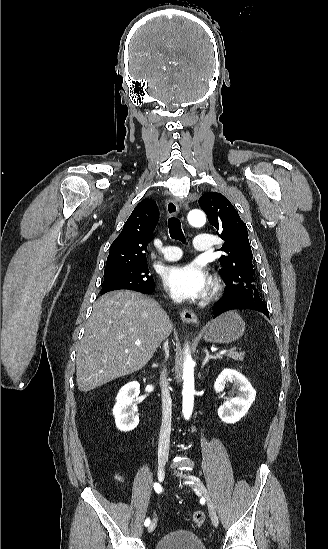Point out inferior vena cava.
Segmentation results:
<instances>
[{
  "mask_svg": "<svg viewBox=\"0 0 328 549\" xmlns=\"http://www.w3.org/2000/svg\"><path fill=\"white\" fill-rule=\"evenodd\" d=\"M165 375L166 369H164L161 375L162 423L158 445L159 455H168L171 435L172 401L169 389L167 387L168 383Z\"/></svg>",
  "mask_w": 328,
  "mask_h": 549,
  "instance_id": "602c4592",
  "label": "inferior vena cava"
}]
</instances>
